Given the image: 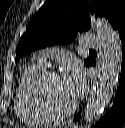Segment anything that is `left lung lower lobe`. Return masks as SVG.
<instances>
[{
  "mask_svg": "<svg viewBox=\"0 0 125 128\" xmlns=\"http://www.w3.org/2000/svg\"><path fill=\"white\" fill-rule=\"evenodd\" d=\"M118 35L122 45V64L119 79V85L116 90L115 99L112 107L101 118L99 122L92 126V128H123L125 121V23L122 24L118 30ZM96 64L93 59L86 67L94 66ZM81 111L76 115L74 121L79 120Z\"/></svg>",
  "mask_w": 125,
  "mask_h": 128,
  "instance_id": "left-lung-lower-lobe-1",
  "label": "left lung lower lobe"
}]
</instances>
